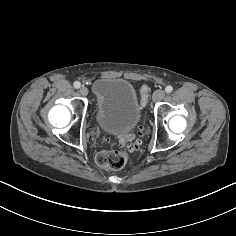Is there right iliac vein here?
Here are the masks:
<instances>
[{
	"instance_id": "obj_1",
	"label": "right iliac vein",
	"mask_w": 236,
	"mask_h": 236,
	"mask_svg": "<svg viewBox=\"0 0 236 236\" xmlns=\"http://www.w3.org/2000/svg\"><path fill=\"white\" fill-rule=\"evenodd\" d=\"M79 92H80V94H81L82 96H87L89 90H88L86 87H81L80 90H79Z\"/></svg>"
}]
</instances>
